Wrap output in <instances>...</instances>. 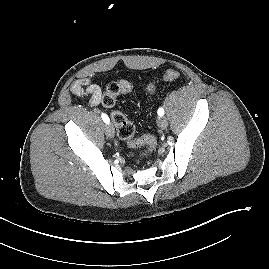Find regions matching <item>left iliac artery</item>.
I'll list each match as a JSON object with an SVG mask.
<instances>
[{
	"label": "left iliac artery",
	"instance_id": "44dca946",
	"mask_svg": "<svg viewBox=\"0 0 269 269\" xmlns=\"http://www.w3.org/2000/svg\"><path fill=\"white\" fill-rule=\"evenodd\" d=\"M157 113H158L159 116H163L164 115V109L162 107L159 108Z\"/></svg>",
	"mask_w": 269,
	"mask_h": 269
}]
</instances>
